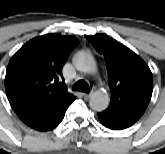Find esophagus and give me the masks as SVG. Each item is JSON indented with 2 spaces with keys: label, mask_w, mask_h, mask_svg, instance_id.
<instances>
[{
  "label": "esophagus",
  "mask_w": 165,
  "mask_h": 154,
  "mask_svg": "<svg viewBox=\"0 0 165 154\" xmlns=\"http://www.w3.org/2000/svg\"><path fill=\"white\" fill-rule=\"evenodd\" d=\"M90 96H91V93L90 94H85L86 98H89Z\"/></svg>",
  "instance_id": "1"
}]
</instances>
